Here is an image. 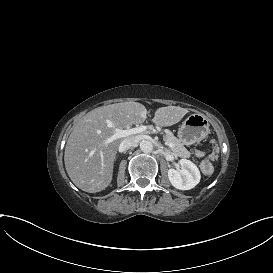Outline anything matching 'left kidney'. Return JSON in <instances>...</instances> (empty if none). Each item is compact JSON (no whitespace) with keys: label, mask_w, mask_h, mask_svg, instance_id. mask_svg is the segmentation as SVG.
<instances>
[{"label":"left kidney","mask_w":273,"mask_h":273,"mask_svg":"<svg viewBox=\"0 0 273 273\" xmlns=\"http://www.w3.org/2000/svg\"><path fill=\"white\" fill-rule=\"evenodd\" d=\"M179 163L181 165L180 170H168L169 181L179 190H190L200 182V171L190 160L181 159Z\"/></svg>","instance_id":"obj_1"}]
</instances>
